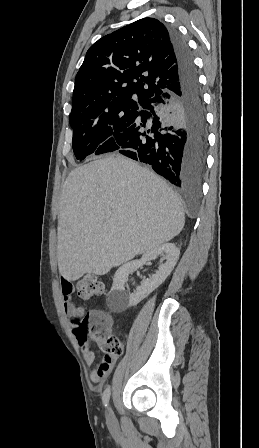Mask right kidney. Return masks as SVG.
Returning <instances> with one entry per match:
<instances>
[{
  "mask_svg": "<svg viewBox=\"0 0 259 448\" xmlns=\"http://www.w3.org/2000/svg\"><path fill=\"white\" fill-rule=\"evenodd\" d=\"M179 254L180 250L175 244H162V246H157L151 252L143 254L141 260H133V262L123 264L117 270L113 278V286L106 298L107 306L111 312H115V314L125 312L129 306H136L141 300L147 298L151 292H154L158 286L165 282L167 276L174 270ZM158 256H162L160 262H163V260H166V262L165 264H160L156 274H152L151 278L142 280L140 286H137L133 294H130L129 290H125L129 274L136 272L138 268H141L150 260H156Z\"/></svg>",
  "mask_w": 259,
  "mask_h": 448,
  "instance_id": "ca27d5eb",
  "label": "right kidney"
}]
</instances>
